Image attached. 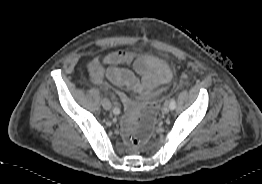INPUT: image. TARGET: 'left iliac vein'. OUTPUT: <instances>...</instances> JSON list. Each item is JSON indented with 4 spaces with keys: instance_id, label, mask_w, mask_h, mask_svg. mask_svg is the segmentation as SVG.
Here are the masks:
<instances>
[{
    "instance_id": "left-iliac-vein-1",
    "label": "left iliac vein",
    "mask_w": 262,
    "mask_h": 184,
    "mask_svg": "<svg viewBox=\"0 0 262 184\" xmlns=\"http://www.w3.org/2000/svg\"><path fill=\"white\" fill-rule=\"evenodd\" d=\"M163 113L167 114L170 111V104L165 102L162 108Z\"/></svg>"
}]
</instances>
